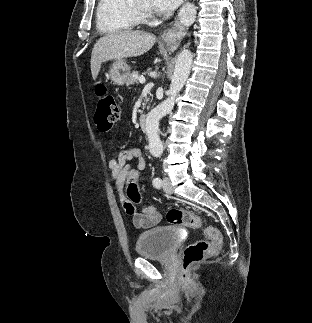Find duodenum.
Returning a JSON list of instances; mask_svg holds the SVG:
<instances>
[{"mask_svg": "<svg viewBox=\"0 0 312 323\" xmlns=\"http://www.w3.org/2000/svg\"><path fill=\"white\" fill-rule=\"evenodd\" d=\"M138 124L139 127L142 131H146L147 130V118L145 114H140L138 116Z\"/></svg>", "mask_w": 312, "mask_h": 323, "instance_id": "410a0bca", "label": "duodenum"}]
</instances>
